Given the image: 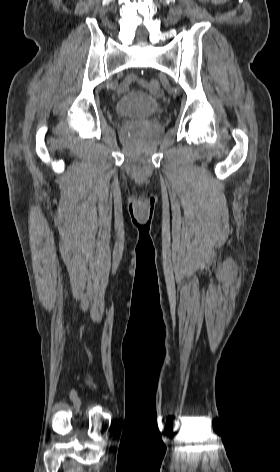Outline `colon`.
I'll return each mask as SVG.
<instances>
[{"label":"colon","instance_id":"colon-1","mask_svg":"<svg viewBox=\"0 0 280 472\" xmlns=\"http://www.w3.org/2000/svg\"><path fill=\"white\" fill-rule=\"evenodd\" d=\"M147 86L149 88V90L155 94H159L160 93V85H159V82L155 79H151L148 81L147 83Z\"/></svg>","mask_w":280,"mask_h":472}]
</instances>
